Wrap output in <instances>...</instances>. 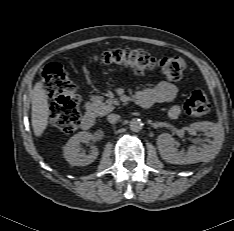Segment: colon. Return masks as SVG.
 <instances>
[{
  "instance_id": "obj_1",
  "label": "colon",
  "mask_w": 234,
  "mask_h": 231,
  "mask_svg": "<svg viewBox=\"0 0 234 231\" xmlns=\"http://www.w3.org/2000/svg\"><path fill=\"white\" fill-rule=\"evenodd\" d=\"M96 59L105 65L131 68L139 75L157 71L170 81L180 80L186 68L182 57H154L144 51L108 50L98 54ZM41 77L46 95L53 99L50 124L64 133H73L81 119L75 84L57 63L47 64L42 69ZM184 108L191 116L205 115L209 111L205 92L199 88L193 89Z\"/></svg>"
}]
</instances>
